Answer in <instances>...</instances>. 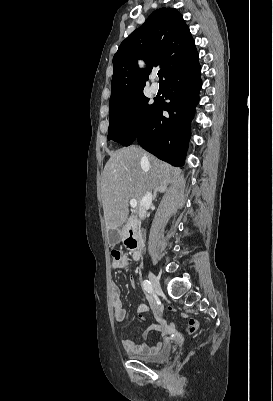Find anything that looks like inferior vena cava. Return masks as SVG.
I'll return each instance as SVG.
<instances>
[{"label": "inferior vena cava", "instance_id": "inferior-vena-cava-1", "mask_svg": "<svg viewBox=\"0 0 273 401\" xmlns=\"http://www.w3.org/2000/svg\"><path fill=\"white\" fill-rule=\"evenodd\" d=\"M152 192H150V190H147V192H145L144 196H142V201L139 205V217L140 219H144L145 215H146V209L148 207V205H151L152 203Z\"/></svg>", "mask_w": 273, "mask_h": 401}]
</instances>
